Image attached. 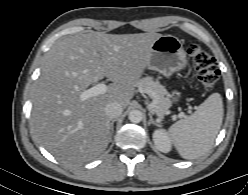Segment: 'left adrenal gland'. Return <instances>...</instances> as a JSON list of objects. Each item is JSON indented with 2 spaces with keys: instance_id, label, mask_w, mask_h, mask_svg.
I'll return each mask as SVG.
<instances>
[{
  "instance_id": "1",
  "label": "left adrenal gland",
  "mask_w": 248,
  "mask_h": 195,
  "mask_svg": "<svg viewBox=\"0 0 248 195\" xmlns=\"http://www.w3.org/2000/svg\"><path fill=\"white\" fill-rule=\"evenodd\" d=\"M148 115H149V118H150L148 124H149V125H150V124H154V125H156L157 127H160V125H159L156 121H154L152 115H151L150 113H149Z\"/></svg>"
}]
</instances>
